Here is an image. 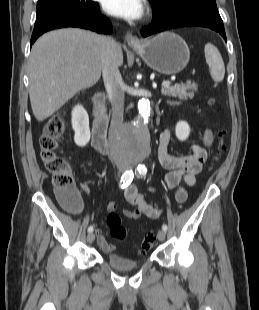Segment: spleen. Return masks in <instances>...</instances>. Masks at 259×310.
I'll return each mask as SVG.
<instances>
[{
  "label": "spleen",
  "instance_id": "spleen-1",
  "mask_svg": "<svg viewBox=\"0 0 259 310\" xmlns=\"http://www.w3.org/2000/svg\"><path fill=\"white\" fill-rule=\"evenodd\" d=\"M204 52L212 79L215 82H221L224 79L225 66L219 50L212 43H207Z\"/></svg>",
  "mask_w": 259,
  "mask_h": 310
}]
</instances>
